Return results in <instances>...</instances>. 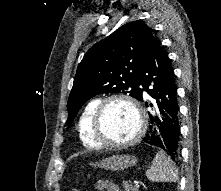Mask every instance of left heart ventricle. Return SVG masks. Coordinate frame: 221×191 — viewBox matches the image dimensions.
<instances>
[{
    "label": "left heart ventricle",
    "mask_w": 221,
    "mask_h": 191,
    "mask_svg": "<svg viewBox=\"0 0 221 191\" xmlns=\"http://www.w3.org/2000/svg\"><path fill=\"white\" fill-rule=\"evenodd\" d=\"M139 126L134 108L126 102L108 104L103 117L105 138L110 142H125L132 138Z\"/></svg>",
    "instance_id": "1"
}]
</instances>
